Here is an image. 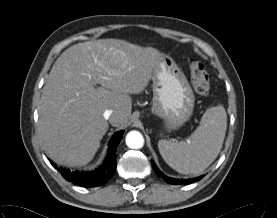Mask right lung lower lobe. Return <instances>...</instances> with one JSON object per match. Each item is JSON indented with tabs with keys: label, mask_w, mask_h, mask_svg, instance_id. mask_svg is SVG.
<instances>
[{
	"label": "right lung lower lobe",
	"mask_w": 277,
	"mask_h": 218,
	"mask_svg": "<svg viewBox=\"0 0 277 218\" xmlns=\"http://www.w3.org/2000/svg\"><path fill=\"white\" fill-rule=\"evenodd\" d=\"M124 131L115 133L111 141L109 142L108 157L104 165L93 172H71L63 168H57V166L51 162V164L57 168L61 175L68 181L84 186L95 187L105 184L114 174L116 169V149L122 138Z\"/></svg>",
	"instance_id": "1"
}]
</instances>
